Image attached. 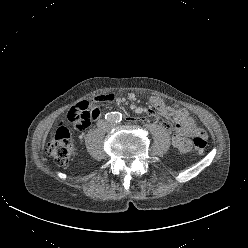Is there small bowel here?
Listing matches in <instances>:
<instances>
[{
    "label": "small bowel",
    "mask_w": 248,
    "mask_h": 248,
    "mask_svg": "<svg viewBox=\"0 0 248 248\" xmlns=\"http://www.w3.org/2000/svg\"><path fill=\"white\" fill-rule=\"evenodd\" d=\"M113 97V95H112ZM99 96L94 100L96 106L98 107V113L95 117L98 118L101 114V109L99 107V103H103V101H100ZM114 100V97L112 100L107 102H112ZM151 105L160 113L163 117H165L168 120H175L176 122V132L172 136V145L181 152H188L191 147V142L189 139V134L195 133L196 129L194 126V121L192 117L189 115V113L180 107H177L175 110L172 106H167L160 97H152L150 99ZM152 110V109H145L142 107L136 108V113L142 114V113H148L149 116H147L146 121L152 126L158 125L159 121L166 127H169L168 123L165 122L161 117L160 114Z\"/></svg>",
    "instance_id": "obj_1"
}]
</instances>
